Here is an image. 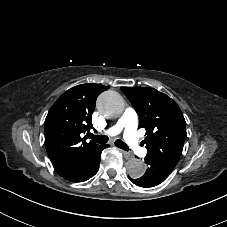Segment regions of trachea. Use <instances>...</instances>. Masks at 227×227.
I'll return each instance as SVG.
<instances>
[{
  "label": "trachea",
  "instance_id": "1",
  "mask_svg": "<svg viewBox=\"0 0 227 227\" xmlns=\"http://www.w3.org/2000/svg\"><path fill=\"white\" fill-rule=\"evenodd\" d=\"M88 138H90L93 141H95L96 143H100V144H106L109 140L108 136H106V135H93L91 133H89ZM115 145L118 148H121L123 150H126V151L129 150L128 146L120 139H117L115 141Z\"/></svg>",
  "mask_w": 227,
  "mask_h": 227
}]
</instances>
